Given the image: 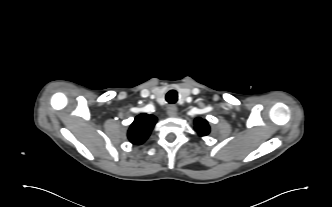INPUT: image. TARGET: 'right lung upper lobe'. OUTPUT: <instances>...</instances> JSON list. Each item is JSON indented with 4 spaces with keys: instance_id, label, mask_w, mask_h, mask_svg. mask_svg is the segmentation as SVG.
Returning a JSON list of instances; mask_svg holds the SVG:
<instances>
[{
    "instance_id": "cb5924a9",
    "label": "right lung upper lobe",
    "mask_w": 332,
    "mask_h": 207,
    "mask_svg": "<svg viewBox=\"0 0 332 207\" xmlns=\"http://www.w3.org/2000/svg\"><path fill=\"white\" fill-rule=\"evenodd\" d=\"M157 122L153 115L142 113L138 115L128 130V139L135 145H140L149 137L151 130Z\"/></svg>"
}]
</instances>
